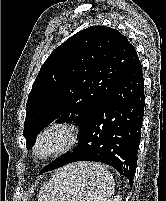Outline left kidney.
<instances>
[{
    "mask_svg": "<svg viewBox=\"0 0 166 201\" xmlns=\"http://www.w3.org/2000/svg\"><path fill=\"white\" fill-rule=\"evenodd\" d=\"M107 201H122V197L120 195L115 196L114 198H111Z\"/></svg>",
    "mask_w": 166,
    "mask_h": 201,
    "instance_id": "obj_1",
    "label": "left kidney"
}]
</instances>
